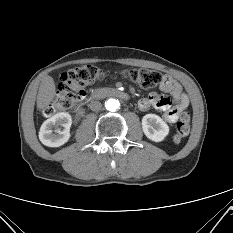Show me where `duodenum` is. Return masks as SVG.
<instances>
[{
	"label": "duodenum",
	"mask_w": 233,
	"mask_h": 233,
	"mask_svg": "<svg viewBox=\"0 0 233 233\" xmlns=\"http://www.w3.org/2000/svg\"><path fill=\"white\" fill-rule=\"evenodd\" d=\"M110 96L118 97L124 100L129 99V95L119 89H98V90L93 91L89 97L91 100H95V99L110 97Z\"/></svg>",
	"instance_id": "410a0bca"
}]
</instances>
